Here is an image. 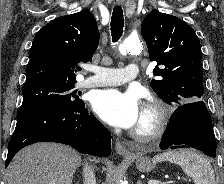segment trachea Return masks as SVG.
Returning a JSON list of instances; mask_svg holds the SVG:
<instances>
[{
  "label": "trachea",
  "mask_w": 224,
  "mask_h": 184,
  "mask_svg": "<svg viewBox=\"0 0 224 184\" xmlns=\"http://www.w3.org/2000/svg\"><path fill=\"white\" fill-rule=\"evenodd\" d=\"M110 26L112 40L113 42H117L122 36L124 26L123 10L121 6L114 7Z\"/></svg>",
  "instance_id": "1"
}]
</instances>
